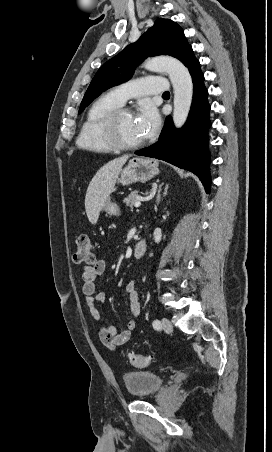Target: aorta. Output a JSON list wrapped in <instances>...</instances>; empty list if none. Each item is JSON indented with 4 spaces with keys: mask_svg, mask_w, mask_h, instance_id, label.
I'll use <instances>...</instances> for the list:
<instances>
[{
    "mask_svg": "<svg viewBox=\"0 0 272 452\" xmlns=\"http://www.w3.org/2000/svg\"><path fill=\"white\" fill-rule=\"evenodd\" d=\"M145 69L154 72H166L174 89L173 122L180 128L188 117L193 98V83L188 69L177 59L163 56L149 59Z\"/></svg>",
    "mask_w": 272,
    "mask_h": 452,
    "instance_id": "aorta-1",
    "label": "aorta"
}]
</instances>
